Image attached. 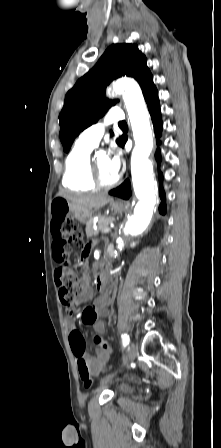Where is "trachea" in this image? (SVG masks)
Listing matches in <instances>:
<instances>
[{"mask_svg":"<svg viewBox=\"0 0 221 448\" xmlns=\"http://www.w3.org/2000/svg\"><path fill=\"white\" fill-rule=\"evenodd\" d=\"M119 126H120V127H124V126H127V123H126L125 121H123V122H120V123H119Z\"/></svg>","mask_w":221,"mask_h":448,"instance_id":"trachea-1","label":"trachea"}]
</instances>
